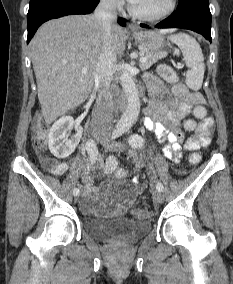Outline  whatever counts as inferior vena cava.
Listing matches in <instances>:
<instances>
[{
    "label": "inferior vena cava",
    "instance_id": "inferior-vena-cava-1",
    "mask_svg": "<svg viewBox=\"0 0 233 284\" xmlns=\"http://www.w3.org/2000/svg\"><path fill=\"white\" fill-rule=\"evenodd\" d=\"M116 0H101L96 7L94 17L101 23L104 31L103 50L95 73V85L98 97L92 112L94 130L110 134L113 130L114 92L111 86L116 64V54L112 47L111 30L117 21Z\"/></svg>",
    "mask_w": 233,
    "mask_h": 284
}]
</instances>
